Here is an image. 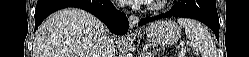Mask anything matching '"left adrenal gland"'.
Returning <instances> with one entry per match:
<instances>
[{
    "instance_id": "1",
    "label": "left adrenal gland",
    "mask_w": 249,
    "mask_h": 57,
    "mask_svg": "<svg viewBox=\"0 0 249 57\" xmlns=\"http://www.w3.org/2000/svg\"><path fill=\"white\" fill-rule=\"evenodd\" d=\"M157 51H148V45H145L143 47V51H142V57H153L154 54H156Z\"/></svg>"
}]
</instances>
